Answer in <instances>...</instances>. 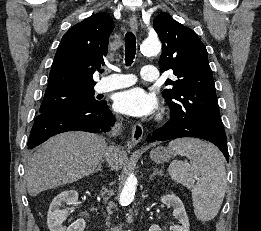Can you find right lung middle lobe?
Returning <instances> with one entry per match:
<instances>
[{
  "label": "right lung middle lobe",
  "instance_id": "right-lung-middle-lobe-1",
  "mask_svg": "<svg viewBox=\"0 0 261 231\" xmlns=\"http://www.w3.org/2000/svg\"><path fill=\"white\" fill-rule=\"evenodd\" d=\"M90 88L46 89L39 114H46L69 107H86L99 104Z\"/></svg>",
  "mask_w": 261,
  "mask_h": 231
}]
</instances>
